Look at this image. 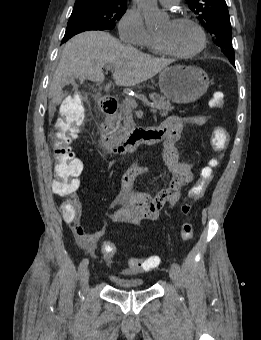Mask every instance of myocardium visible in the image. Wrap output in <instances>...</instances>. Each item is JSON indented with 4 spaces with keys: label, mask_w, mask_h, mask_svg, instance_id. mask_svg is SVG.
Masks as SVG:
<instances>
[{
    "label": "myocardium",
    "mask_w": 261,
    "mask_h": 340,
    "mask_svg": "<svg viewBox=\"0 0 261 340\" xmlns=\"http://www.w3.org/2000/svg\"><path fill=\"white\" fill-rule=\"evenodd\" d=\"M173 22L176 23H188L191 24L192 26H194V28L198 31L199 36H200V43L199 46L188 53H179V52H175L171 49H169L164 43L163 41L159 38V37H155L158 47L161 50L162 53L166 54V55H170L176 58H180V59H191L197 55H199L205 48L207 45V35L206 32L204 30V28L202 27V25L195 20L194 18L188 17V16H181V17H177L173 20Z\"/></svg>",
    "instance_id": "myocardium-1"
}]
</instances>
